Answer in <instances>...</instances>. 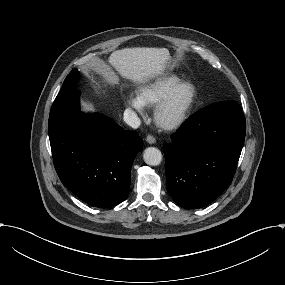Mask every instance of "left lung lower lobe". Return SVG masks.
<instances>
[{
  "label": "left lung lower lobe",
  "instance_id": "1",
  "mask_svg": "<svg viewBox=\"0 0 285 285\" xmlns=\"http://www.w3.org/2000/svg\"><path fill=\"white\" fill-rule=\"evenodd\" d=\"M246 122L236 101L211 104L193 114L164 145L167 190L181 207L214 201L232 182Z\"/></svg>",
  "mask_w": 285,
  "mask_h": 285
}]
</instances>
